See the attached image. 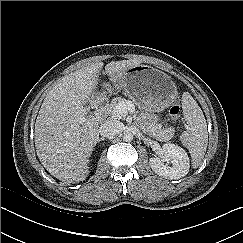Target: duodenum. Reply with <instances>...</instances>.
I'll list each match as a JSON object with an SVG mask.
<instances>
[{
	"mask_svg": "<svg viewBox=\"0 0 243 243\" xmlns=\"http://www.w3.org/2000/svg\"><path fill=\"white\" fill-rule=\"evenodd\" d=\"M108 97L105 95H98L95 97L93 105L96 111V117L99 120H103L105 116V112L108 106Z\"/></svg>",
	"mask_w": 243,
	"mask_h": 243,
	"instance_id": "1",
	"label": "duodenum"
}]
</instances>
